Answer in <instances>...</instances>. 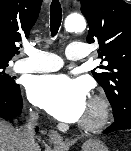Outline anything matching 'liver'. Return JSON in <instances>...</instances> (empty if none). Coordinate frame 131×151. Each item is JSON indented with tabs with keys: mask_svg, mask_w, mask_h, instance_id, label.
Here are the masks:
<instances>
[{
	"mask_svg": "<svg viewBox=\"0 0 131 151\" xmlns=\"http://www.w3.org/2000/svg\"><path fill=\"white\" fill-rule=\"evenodd\" d=\"M37 149L40 151L39 146ZM0 151H22L16 130L10 123L2 120H0Z\"/></svg>",
	"mask_w": 131,
	"mask_h": 151,
	"instance_id": "liver-1",
	"label": "liver"
}]
</instances>
